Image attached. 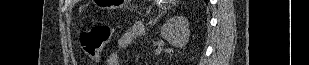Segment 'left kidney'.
Here are the masks:
<instances>
[{
	"mask_svg": "<svg viewBox=\"0 0 309 65\" xmlns=\"http://www.w3.org/2000/svg\"><path fill=\"white\" fill-rule=\"evenodd\" d=\"M161 36L174 47H183L189 42V21L183 16L168 19L161 28Z\"/></svg>",
	"mask_w": 309,
	"mask_h": 65,
	"instance_id": "left-kidney-1",
	"label": "left kidney"
}]
</instances>
